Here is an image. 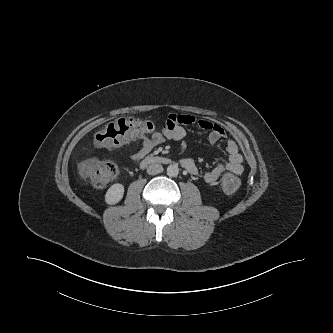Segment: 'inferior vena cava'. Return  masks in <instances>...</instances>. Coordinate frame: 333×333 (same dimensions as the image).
Listing matches in <instances>:
<instances>
[{
    "instance_id": "obj_1",
    "label": "inferior vena cava",
    "mask_w": 333,
    "mask_h": 333,
    "mask_svg": "<svg viewBox=\"0 0 333 333\" xmlns=\"http://www.w3.org/2000/svg\"><path fill=\"white\" fill-rule=\"evenodd\" d=\"M161 172H163V167H162V165L157 164V163H153V164L149 165L147 168V173L149 175H156Z\"/></svg>"
}]
</instances>
